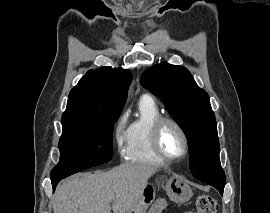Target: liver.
Segmentation results:
<instances>
[{"mask_svg":"<svg viewBox=\"0 0 270 213\" xmlns=\"http://www.w3.org/2000/svg\"><path fill=\"white\" fill-rule=\"evenodd\" d=\"M159 167L125 163L107 172L84 173L58 186L54 213H125Z\"/></svg>","mask_w":270,"mask_h":213,"instance_id":"1","label":"liver"}]
</instances>
